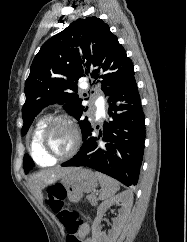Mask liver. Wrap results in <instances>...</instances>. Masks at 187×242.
Masks as SVG:
<instances>
[{
  "mask_svg": "<svg viewBox=\"0 0 187 242\" xmlns=\"http://www.w3.org/2000/svg\"><path fill=\"white\" fill-rule=\"evenodd\" d=\"M76 168H55L47 171H40L31 178V184L40 201L43 200L42 189L52 185Z\"/></svg>",
  "mask_w": 187,
  "mask_h": 242,
  "instance_id": "liver-1",
  "label": "liver"
}]
</instances>
